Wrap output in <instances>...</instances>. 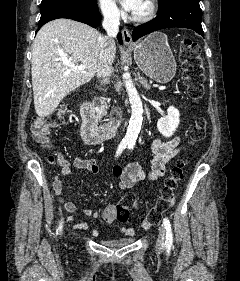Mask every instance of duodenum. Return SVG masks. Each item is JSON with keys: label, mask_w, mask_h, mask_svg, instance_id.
Instances as JSON below:
<instances>
[{"label": "duodenum", "mask_w": 240, "mask_h": 281, "mask_svg": "<svg viewBox=\"0 0 240 281\" xmlns=\"http://www.w3.org/2000/svg\"><path fill=\"white\" fill-rule=\"evenodd\" d=\"M81 115V135L84 141L90 145L99 144L115 136L121 127L120 115H116L111 122L103 125H98L89 102L82 103Z\"/></svg>", "instance_id": "410a0bca"}]
</instances>
